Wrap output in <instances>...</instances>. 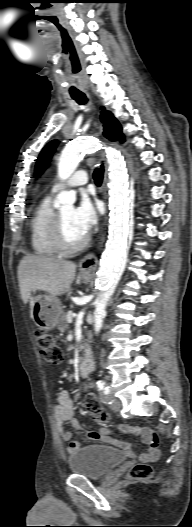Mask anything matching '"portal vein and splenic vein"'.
<instances>
[{"mask_svg":"<svg viewBox=\"0 0 192 527\" xmlns=\"http://www.w3.org/2000/svg\"><path fill=\"white\" fill-rule=\"evenodd\" d=\"M74 317H75V314L72 312H69L67 315V321L71 323Z\"/></svg>","mask_w":192,"mask_h":527,"instance_id":"portal-vein-and-splenic-vein-1","label":"portal vein and splenic vein"}]
</instances>
